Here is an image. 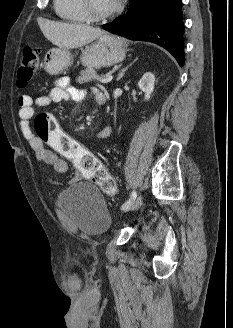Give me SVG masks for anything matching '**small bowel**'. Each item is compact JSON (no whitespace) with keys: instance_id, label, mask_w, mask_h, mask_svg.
Segmentation results:
<instances>
[{"instance_id":"1","label":"small bowel","mask_w":233,"mask_h":328,"mask_svg":"<svg viewBox=\"0 0 233 328\" xmlns=\"http://www.w3.org/2000/svg\"><path fill=\"white\" fill-rule=\"evenodd\" d=\"M101 93L95 92V98L97 100ZM85 93L81 90L76 89L70 85V82L66 78H60L55 81L53 88L49 93L33 99L28 95H23L18 99L19 106V119L22 134L29 141V144L33 151L35 152L38 160L52 167L55 173L62 174L68 170L67 162L55 154L53 151L49 150L45 143L42 142L38 137L32 134L30 128V120L34 114V107H47L53 103L63 102L67 100L79 101L83 99ZM111 129L109 126L105 127L102 131L98 133V138H106L110 135ZM47 183H55L50 177H46ZM82 281L78 274L73 273L69 277V285L72 290H79Z\"/></svg>"}]
</instances>
